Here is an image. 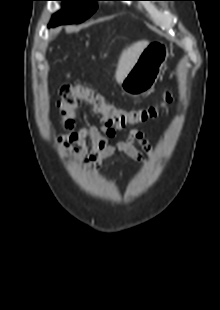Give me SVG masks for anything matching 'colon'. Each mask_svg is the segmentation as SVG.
<instances>
[{
  "instance_id": "colon-1",
  "label": "colon",
  "mask_w": 220,
  "mask_h": 310,
  "mask_svg": "<svg viewBox=\"0 0 220 310\" xmlns=\"http://www.w3.org/2000/svg\"><path fill=\"white\" fill-rule=\"evenodd\" d=\"M172 101V92L166 89L161 99L144 107L125 108L113 104L91 87L81 83H67L60 88V117L64 126L72 129L77 120V110L89 105L101 116L103 126L122 129L127 126L136 127L155 119L160 110Z\"/></svg>"
}]
</instances>
